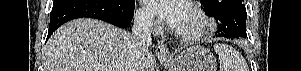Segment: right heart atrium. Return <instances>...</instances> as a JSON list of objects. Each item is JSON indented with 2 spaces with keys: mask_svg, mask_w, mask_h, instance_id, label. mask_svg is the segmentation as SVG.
I'll list each match as a JSON object with an SVG mask.
<instances>
[{
  "mask_svg": "<svg viewBox=\"0 0 301 71\" xmlns=\"http://www.w3.org/2000/svg\"><path fill=\"white\" fill-rule=\"evenodd\" d=\"M137 22L144 29H152L155 26L152 15L145 9L137 12Z\"/></svg>",
  "mask_w": 301,
  "mask_h": 71,
  "instance_id": "1",
  "label": "right heart atrium"
}]
</instances>
